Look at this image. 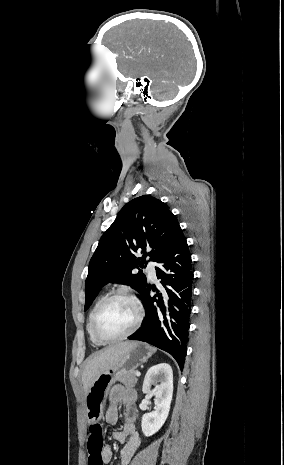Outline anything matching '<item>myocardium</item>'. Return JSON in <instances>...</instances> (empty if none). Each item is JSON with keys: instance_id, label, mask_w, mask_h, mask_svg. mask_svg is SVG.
I'll return each mask as SVG.
<instances>
[{"instance_id": "1", "label": "myocardium", "mask_w": 284, "mask_h": 465, "mask_svg": "<svg viewBox=\"0 0 284 465\" xmlns=\"http://www.w3.org/2000/svg\"><path fill=\"white\" fill-rule=\"evenodd\" d=\"M118 300L128 301L134 306V308L136 310V313H137L136 322H135V324L133 325V327L131 328V330L127 334H125V335H123V336H121L119 338H115V339H102L97 334V331H96L97 321H98L100 315L102 314V312L106 309V307L109 304H111L112 302L118 301ZM143 318H144V309H143V306H142V303L140 302V300L136 296H134L133 294H130V293H127V292H117L115 294H112V295L108 296L106 299H104L100 303V305L97 307L96 311L94 312V315H93L92 321H91V334H92V337L94 338V340L98 344H101V345H109V344H116V343L122 342L124 340L129 339L130 337H132L137 332V330L141 326Z\"/></svg>"}]
</instances>
